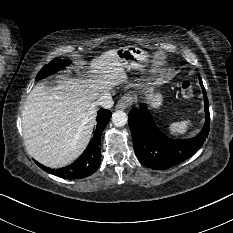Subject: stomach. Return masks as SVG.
Wrapping results in <instances>:
<instances>
[{"mask_svg":"<svg viewBox=\"0 0 233 233\" xmlns=\"http://www.w3.org/2000/svg\"><path fill=\"white\" fill-rule=\"evenodd\" d=\"M117 56L125 64V69H142L140 64L147 54L142 49L135 46H126L116 49ZM147 99L152 108H159L163 103V96L161 93H154L152 90L147 94Z\"/></svg>","mask_w":233,"mask_h":233,"instance_id":"0dacf381","label":"stomach"}]
</instances>
